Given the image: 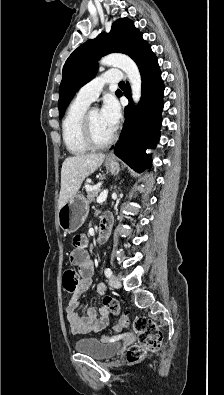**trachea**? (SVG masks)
<instances>
[{"mask_svg": "<svg viewBox=\"0 0 224 395\" xmlns=\"http://www.w3.org/2000/svg\"><path fill=\"white\" fill-rule=\"evenodd\" d=\"M119 85H120V86H124V85H125V82H124V81H121V82L119 83Z\"/></svg>", "mask_w": 224, "mask_h": 395, "instance_id": "trachea-1", "label": "trachea"}]
</instances>
